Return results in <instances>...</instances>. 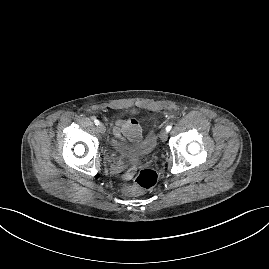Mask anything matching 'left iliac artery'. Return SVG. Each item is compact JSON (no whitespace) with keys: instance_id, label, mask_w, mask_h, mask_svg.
<instances>
[{"instance_id":"left-iliac-artery-1","label":"left iliac artery","mask_w":269,"mask_h":269,"mask_svg":"<svg viewBox=\"0 0 269 269\" xmlns=\"http://www.w3.org/2000/svg\"><path fill=\"white\" fill-rule=\"evenodd\" d=\"M171 129H172V125H168V126L166 127V131H167V132H169Z\"/></svg>"}]
</instances>
